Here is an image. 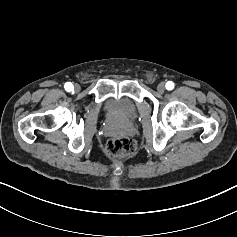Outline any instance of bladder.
<instances>
[{
  "mask_svg": "<svg viewBox=\"0 0 237 237\" xmlns=\"http://www.w3.org/2000/svg\"><path fill=\"white\" fill-rule=\"evenodd\" d=\"M106 112L113 118L132 120L138 116V107L130 98H112L106 103Z\"/></svg>",
  "mask_w": 237,
  "mask_h": 237,
  "instance_id": "bladder-1",
  "label": "bladder"
}]
</instances>
